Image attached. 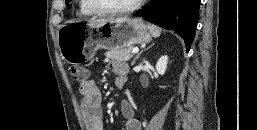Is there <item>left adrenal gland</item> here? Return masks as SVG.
<instances>
[{
    "label": "left adrenal gland",
    "mask_w": 257,
    "mask_h": 130,
    "mask_svg": "<svg viewBox=\"0 0 257 130\" xmlns=\"http://www.w3.org/2000/svg\"><path fill=\"white\" fill-rule=\"evenodd\" d=\"M153 45H154V43H153L151 46H149L148 48H146V49L142 50L141 52H139V53L137 54V56L134 58V60H133V62H132V65L135 64L136 60L139 58V56H140L145 50H148V49L151 48Z\"/></svg>",
    "instance_id": "1"
}]
</instances>
